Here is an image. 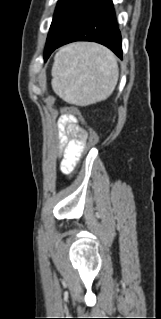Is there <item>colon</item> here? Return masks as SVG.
<instances>
[{"instance_id":"obj_1","label":"colon","mask_w":161,"mask_h":319,"mask_svg":"<svg viewBox=\"0 0 161 319\" xmlns=\"http://www.w3.org/2000/svg\"><path fill=\"white\" fill-rule=\"evenodd\" d=\"M65 110L68 113L79 115V111L76 107L68 106L65 108ZM84 138H85L86 149H91L92 147L95 146V144L98 141V136L96 132L90 128L85 132Z\"/></svg>"}]
</instances>
